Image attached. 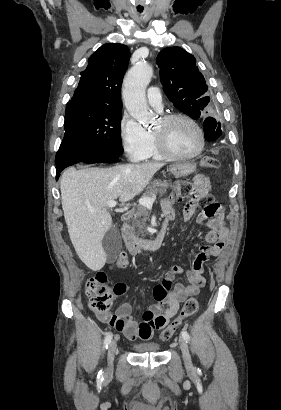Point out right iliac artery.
<instances>
[{
  "label": "right iliac artery",
  "instance_id": "obj_1",
  "mask_svg": "<svg viewBox=\"0 0 281 410\" xmlns=\"http://www.w3.org/2000/svg\"><path fill=\"white\" fill-rule=\"evenodd\" d=\"M111 339H112V333H108V334L106 335L105 339H104V347H105L106 349L108 348V345L110 344ZM97 378H98L99 381H102V380H103L102 371H100V372L98 373Z\"/></svg>",
  "mask_w": 281,
  "mask_h": 410
}]
</instances>
